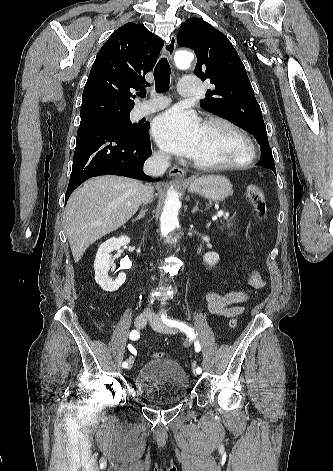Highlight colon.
<instances>
[{
    "mask_svg": "<svg viewBox=\"0 0 333 471\" xmlns=\"http://www.w3.org/2000/svg\"><path fill=\"white\" fill-rule=\"evenodd\" d=\"M245 193L253 205L257 216L261 219H265L267 216V205L263 190L258 185L249 184L246 186ZM237 324L236 319H231L228 322V327L230 329H235ZM153 356L154 358H162L164 355L161 352H155Z\"/></svg>",
    "mask_w": 333,
    "mask_h": 471,
    "instance_id": "colon-1",
    "label": "colon"
}]
</instances>
